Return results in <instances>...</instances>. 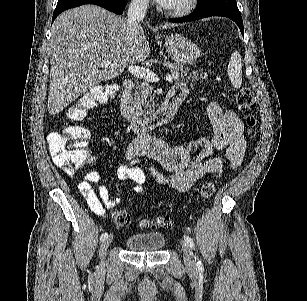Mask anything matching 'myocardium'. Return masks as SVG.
I'll use <instances>...</instances> for the list:
<instances>
[{"mask_svg": "<svg viewBox=\"0 0 307 301\" xmlns=\"http://www.w3.org/2000/svg\"><path fill=\"white\" fill-rule=\"evenodd\" d=\"M183 4H160L158 12H164V17H183L192 9L195 0H184Z\"/></svg>", "mask_w": 307, "mask_h": 301, "instance_id": "1", "label": "myocardium"}]
</instances>
